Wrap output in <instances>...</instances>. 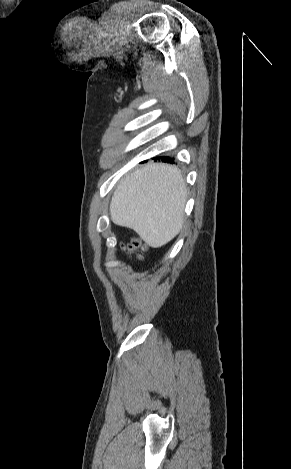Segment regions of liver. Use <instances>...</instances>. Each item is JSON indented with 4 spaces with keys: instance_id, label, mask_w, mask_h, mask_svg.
I'll use <instances>...</instances> for the list:
<instances>
[{
    "instance_id": "6515ba94",
    "label": "liver",
    "mask_w": 291,
    "mask_h": 469,
    "mask_svg": "<svg viewBox=\"0 0 291 469\" xmlns=\"http://www.w3.org/2000/svg\"><path fill=\"white\" fill-rule=\"evenodd\" d=\"M187 190L180 171L147 164L122 179L112 196L114 224L134 230L150 247L170 242L182 229Z\"/></svg>"
}]
</instances>
